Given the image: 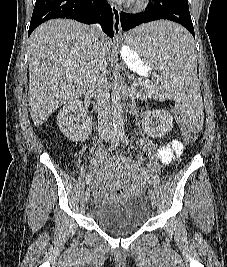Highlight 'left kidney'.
Masks as SVG:
<instances>
[{"instance_id": "obj_1", "label": "left kidney", "mask_w": 227, "mask_h": 267, "mask_svg": "<svg viewBox=\"0 0 227 267\" xmlns=\"http://www.w3.org/2000/svg\"><path fill=\"white\" fill-rule=\"evenodd\" d=\"M146 131L152 137H162L173 128V118L169 112L155 110L148 112L143 120Z\"/></svg>"}]
</instances>
